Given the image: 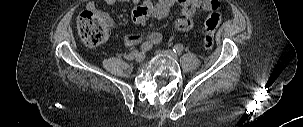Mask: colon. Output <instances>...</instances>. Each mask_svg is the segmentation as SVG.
<instances>
[{"instance_id": "1", "label": "colon", "mask_w": 303, "mask_h": 127, "mask_svg": "<svg viewBox=\"0 0 303 127\" xmlns=\"http://www.w3.org/2000/svg\"><path fill=\"white\" fill-rule=\"evenodd\" d=\"M221 19L219 8H212L205 21L203 45L206 50H212L214 47V37ZM77 27L82 41L90 47L102 44L108 37V29L105 23L92 10H86L79 15Z\"/></svg>"}]
</instances>
